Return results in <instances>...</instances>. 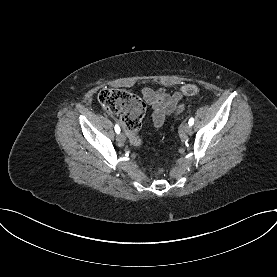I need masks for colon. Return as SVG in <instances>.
<instances>
[{"mask_svg":"<svg viewBox=\"0 0 277 277\" xmlns=\"http://www.w3.org/2000/svg\"><path fill=\"white\" fill-rule=\"evenodd\" d=\"M180 92L186 96H194L199 93V88L193 84L181 87ZM100 105L111 113H118L123 127L129 134L133 146L139 147L142 140L139 136L142 119L146 114V106L136 95L118 88H104L98 95ZM164 168L158 167L156 172L163 173Z\"/></svg>","mask_w":277,"mask_h":277,"instance_id":"colon-1","label":"colon"}]
</instances>
